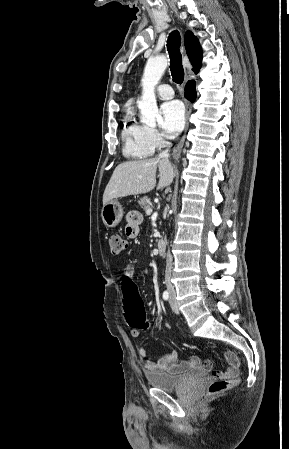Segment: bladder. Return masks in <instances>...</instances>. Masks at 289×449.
<instances>
[{
    "label": "bladder",
    "instance_id": "31cf9c89",
    "mask_svg": "<svg viewBox=\"0 0 289 449\" xmlns=\"http://www.w3.org/2000/svg\"><path fill=\"white\" fill-rule=\"evenodd\" d=\"M204 376V370L196 369L179 375H171L166 373L149 374L147 375V381L154 388L172 392L188 386L189 384L200 380Z\"/></svg>",
    "mask_w": 289,
    "mask_h": 449
}]
</instances>
